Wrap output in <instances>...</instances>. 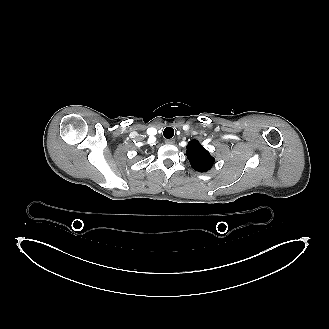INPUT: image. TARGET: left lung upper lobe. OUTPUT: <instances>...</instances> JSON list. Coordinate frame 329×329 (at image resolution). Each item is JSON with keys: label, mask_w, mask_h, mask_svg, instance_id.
<instances>
[{"label": "left lung upper lobe", "mask_w": 329, "mask_h": 329, "mask_svg": "<svg viewBox=\"0 0 329 329\" xmlns=\"http://www.w3.org/2000/svg\"><path fill=\"white\" fill-rule=\"evenodd\" d=\"M186 155L192 168L198 172L208 171L215 161L210 153L197 140H192L188 143Z\"/></svg>", "instance_id": "obj_1"}]
</instances>
